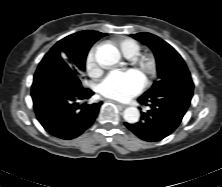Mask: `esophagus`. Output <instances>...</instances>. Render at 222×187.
Returning <instances> with one entry per match:
<instances>
[{
	"label": "esophagus",
	"instance_id": "esophagus-1",
	"mask_svg": "<svg viewBox=\"0 0 222 187\" xmlns=\"http://www.w3.org/2000/svg\"><path fill=\"white\" fill-rule=\"evenodd\" d=\"M115 104H117L118 106H120V107H122V108H125V107H126L125 104H121V103H119V102H115Z\"/></svg>",
	"mask_w": 222,
	"mask_h": 187
}]
</instances>
